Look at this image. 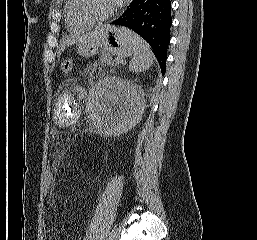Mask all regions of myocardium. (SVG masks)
Masks as SVG:
<instances>
[{
  "mask_svg": "<svg viewBox=\"0 0 257 240\" xmlns=\"http://www.w3.org/2000/svg\"><path fill=\"white\" fill-rule=\"evenodd\" d=\"M76 10L79 16L93 24H99L110 20L117 12L116 7L106 15L98 16L88 8V0H76Z\"/></svg>",
  "mask_w": 257,
  "mask_h": 240,
  "instance_id": "f54148a6",
  "label": "myocardium"
}]
</instances>
